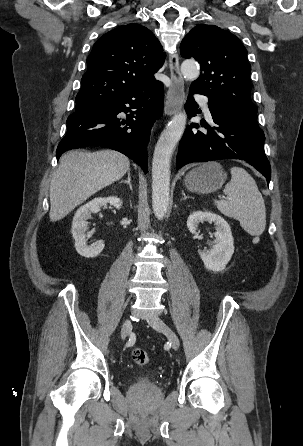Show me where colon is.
<instances>
[{
    "instance_id": "5ec220e1",
    "label": "colon",
    "mask_w": 303,
    "mask_h": 446,
    "mask_svg": "<svg viewBox=\"0 0 303 446\" xmlns=\"http://www.w3.org/2000/svg\"><path fill=\"white\" fill-rule=\"evenodd\" d=\"M132 359L140 367L147 366L150 362L148 353L141 349H135L132 353Z\"/></svg>"
}]
</instances>
